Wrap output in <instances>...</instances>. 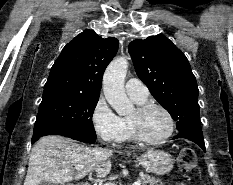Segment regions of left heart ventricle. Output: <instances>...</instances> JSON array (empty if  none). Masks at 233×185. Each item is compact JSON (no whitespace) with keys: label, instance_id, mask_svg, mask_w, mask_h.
<instances>
[{"label":"left heart ventricle","instance_id":"b2bd125f","mask_svg":"<svg viewBox=\"0 0 233 185\" xmlns=\"http://www.w3.org/2000/svg\"><path fill=\"white\" fill-rule=\"evenodd\" d=\"M135 115V111L131 116ZM141 127L143 133L150 139L163 137L169 130L167 116L157 108H151L141 117Z\"/></svg>","mask_w":233,"mask_h":185}]
</instances>
